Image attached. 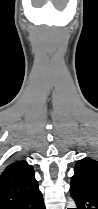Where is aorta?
<instances>
[{"instance_id": "obj_1", "label": "aorta", "mask_w": 98, "mask_h": 209, "mask_svg": "<svg viewBox=\"0 0 98 209\" xmlns=\"http://www.w3.org/2000/svg\"><path fill=\"white\" fill-rule=\"evenodd\" d=\"M76 206L74 200L70 199L69 202H68V207L70 208H74Z\"/></svg>"}]
</instances>
